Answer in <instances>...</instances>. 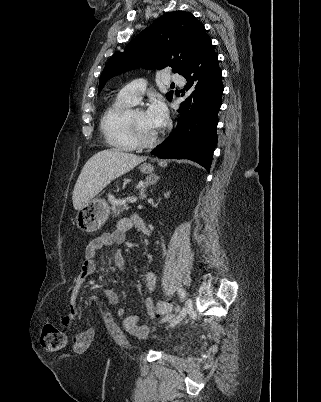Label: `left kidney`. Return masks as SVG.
Returning <instances> with one entry per match:
<instances>
[{
    "label": "left kidney",
    "instance_id": "left-kidney-1",
    "mask_svg": "<svg viewBox=\"0 0 321 402\" xmlns=\"http://www.w3.org/2000/svg\"><path fill=\"white\" fill-rule=\"evenodd\" d=\"M164 196H165L166 198H168V197H169V192L165 193Z\"/></svg>",
    "mask_w": 321,
    "mask_h": 402
}]
</instances>
